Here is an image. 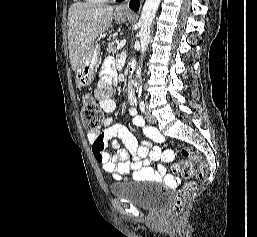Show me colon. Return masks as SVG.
Here are the masks:
<instances>
[{
  "mask_svg": "<svg viewBox=\"0 0 257 237\" xmlns=\"http://www.w3.org/2000/svg\"><path fill=\"white\" fill-rule=\"evenodd\" d=\"M81 118L84 127L90 132H98L103 122V116L97 102L91 98L86 97L81 108ZM182 156L186 161L175 164L173 172L185 178L191 177L196 173V177L201 179L206 171V164L200 160V154L195 149L185 146L181 149ZM193 162H198L195 169ZM196 188L195 181H188L185 186L178 191L176 199L173 203L171 213L175 217L182 215L185 206L188 204L191 193Z\"/></svg>",
  "mask_w": 257,
  "mask_h": 237,
  "instance_id": "obj_1",
  "label": "colon"
}]
</instances>
